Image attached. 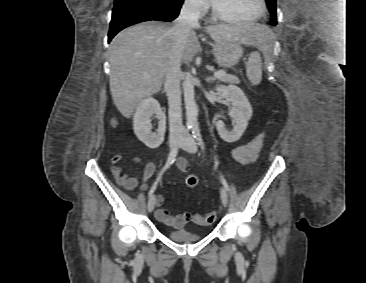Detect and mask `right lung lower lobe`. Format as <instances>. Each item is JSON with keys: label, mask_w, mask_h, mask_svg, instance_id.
<instances>
[{"label": "right lung lower lobe", "mask_w": 366, "mask_h": 283, "mask_svg": "<svg viewBox=\"0 0 366 283\" xmlns=\"http://www.w3.org/2000/svg\"><path fill=\"white\" fill-rule=\"evenodd\" d=\"M184 0L171 3L166 0H115L108 42L122 29L144 21H172Z\"/></svg>", "instance_id": "right-lung-lower-lobe-1"}]
</instances>
